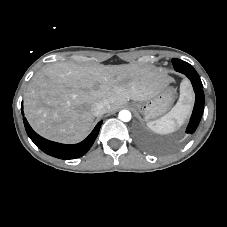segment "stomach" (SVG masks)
Masks as SVG:
<instances>
[{
	"label": "stomach",
	"mask_w": 227,
	"mask_h": 227,
	"mask_svg": "<svg viewBox=\"0 0 227 227\" xmlns=\"http://www.w3.org/2000/svg\"><path fill=\"white\" fill-rule=\"evenodd\" d=\"M175 99V90L172 87H166L155 97L140 102H132L131 106L135 111L141 113L145 121L155 119L163 115Z\"/></svg>",
	"instance_id": "1"
}]
</instances>
